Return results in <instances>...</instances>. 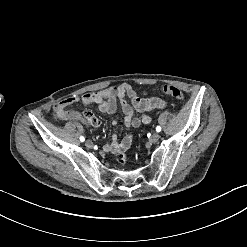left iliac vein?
<instances>
[{"label": "left iliac vein", "mask_w": 247, "mask_h": 247, "mask_svg": "<svg viewBox=\"0 0 247 247\" xmlns=\"http://www.w3.org/2000/svg\"><path fill=\"white\" fill-rule=\"evenodd\" d=\"M159 138H160L159 133H154L152 135V137L149 139V142L150 143H156L159 140Z\"/></svg>", "instance_id": "4c4485c4"}]
</instances>
